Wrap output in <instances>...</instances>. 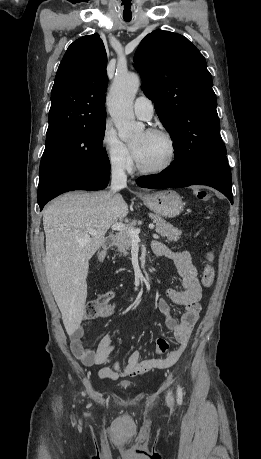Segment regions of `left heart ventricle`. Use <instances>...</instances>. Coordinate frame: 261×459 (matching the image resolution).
I'll return each mask as SVG.
<instances>
[{"label":"left heart ventricle","instance_id":"1","mask_svg":"<svg viewBox=\"0 0 261 459\" xmlns=\"http://www.w3.org/2000/svg\"><path fill=\"white\" fill-rule=\"evenodd\" d=\"M138 153L137 161L143 167H155L162 164L168 156V144L163 137L139 133L131 142Z\"/></svg>","mask_w":261,"mask_h":459}]
</instances>
